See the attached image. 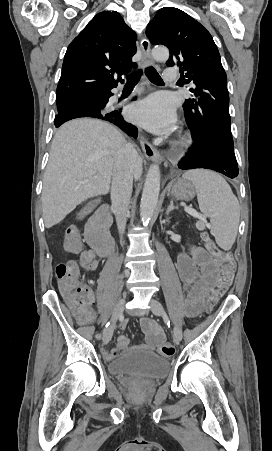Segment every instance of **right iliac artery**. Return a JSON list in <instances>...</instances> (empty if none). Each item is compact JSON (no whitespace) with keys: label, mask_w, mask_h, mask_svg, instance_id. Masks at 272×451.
I'll return each instance as SVG.
<instances>
[{"label":"right iliac artery","mask_w":272,"mask_h":451,"mask_svg":"<svg viewBox=\"0 0 272 451\" xmlns=\"http://www.w3.org/2000/svg\"><path fill=\"white\" fill-rule=\"evenodd\" d=\"M109 325H110V322H108L105 327L107 328Z\"/></svg>","instance_id":"1"}]
</instances>
